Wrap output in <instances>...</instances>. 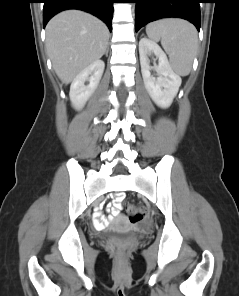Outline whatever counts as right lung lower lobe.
<instances>
[{
	"instance_id": "right-lung-lower-lobe-1",
	"label": "right lung lower lobe",
	"mask_w": 239,
	"mask_h": 296,
	"mask_svg": "<svg viewBox=\"0 0 239 296\" xmlns=\"http://www.w3.org/2000/svg\"><path fill=\"white\" fill-rule=\"evenodd\" d=\"M116 0H43V26L58 12L79 9L89 12L104 21L112 30L113 3Z\"/></svg>"
}]
</instances>
